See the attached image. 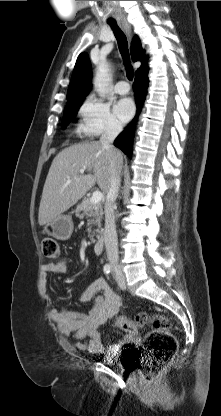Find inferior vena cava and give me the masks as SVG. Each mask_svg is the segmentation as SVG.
I'll return each mask as SVG.
<instances>
[{
  "mask_svg": "<svg viewBox=\"0 0 221 416\" xmlns=\"http://www.w3.org/2000/svg\"><path fill=\"white\" fill-rule=\"evenodd\" d=\"M122 131V126L115 121L109 122L106 126L100 143L109 154L113 174L110 181V187L107 192L105 202V228H104V243L107 253L108 261L111 265L112 271L120 272L119 255H118V239L115 226L114 206L120 187V170L121 167L117 163L118 152L113 146L115 138Z\"/></svg>",
  "mask_w": 221,
  "mask_h": 416,
  "instance_id": "inferior-vena-cava-1",
  "label": "inferior vena cava"
}]
</instances>
